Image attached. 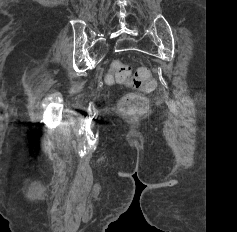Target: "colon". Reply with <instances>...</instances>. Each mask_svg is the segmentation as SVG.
Segmentation results:
<instances>
[{
	"label": "colon",
	"instance_id": "obj_1",
	"mask_svg": "<svg viewBox=\"0 0 237 232\" xmlns=\"http://www.w3.org/2000/svg\"><path fill=\"white\" fill-rule=\"evenodd\" d=\"M130 73L131 67L129 65L115 61L111 65L107 81L126 84L142 92H152L156 88V81L148 69L139 68L132 77H130ZM122 109L129 114H134L145 111L147 104L141 96L129 95L123 100Z\"/></svg>",
	"mask_w": 237,
	"mask_h": 232
}]
</instances>
